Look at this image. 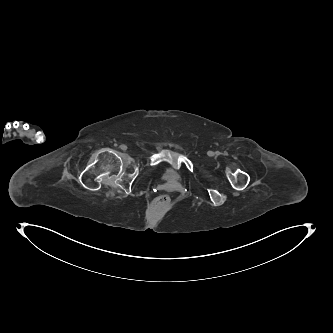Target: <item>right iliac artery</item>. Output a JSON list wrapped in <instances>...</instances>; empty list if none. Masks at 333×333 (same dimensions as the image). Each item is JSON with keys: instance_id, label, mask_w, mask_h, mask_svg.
<instances>
[{"instance_id": "1", "label": "right iliac artery", "mask_w": 333, "mask_h": 333, "mask_svg": "<svg viewBox=\"0 0 333 333\" xmlns=\"http://www.w3.org/2000/svg\"><path fill=\"white\" fill-rule=\"evenodd\" d=\"M120 148H121L122 150H126V149H127V146L123 144V145L120 146Z\"/></svg>"}]
</instances>
